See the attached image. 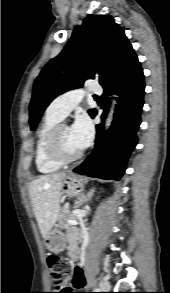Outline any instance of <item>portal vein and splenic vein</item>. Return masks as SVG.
<instances>
[{
    "label": "portal vein and splenic vein",
    "mask_w": 170,
    "mask_h": 293,
    "mask_svg": "<svg viewBox=\"0 0 170 293\" xmlns=\"http://www.w3.org/2000/svg\"><path fill=\"white\" fill-rule=\"evenodd\" d=\"M67 223L70 224V225H76L77 221L74 220V219H70V220L67 221Z\"/></svg>",
    "instance_id": "obj_1"
}]
</instances>
